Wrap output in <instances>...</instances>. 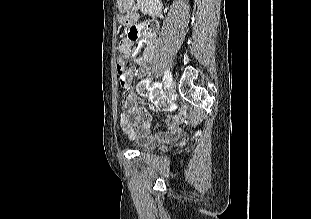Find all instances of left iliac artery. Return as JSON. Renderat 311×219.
Here are the masks:
<instances>
[{
	"instance_id": "44dca946",
	"label": "left iliac artery",
	"mask_w": 311,
	"mask_h": 219,
	"mask_svg": "<svg viewBox=\"0 0 311 219\" xmlns=\"http://www.w3.org/2000/svg\"><path fill=\"white\" fill-rule=\"evenodd\" d=\"M164 82L166 84H169L172 82V74L169 70H166L165 73H164Z\"/></svg>"
}]
</instances>
